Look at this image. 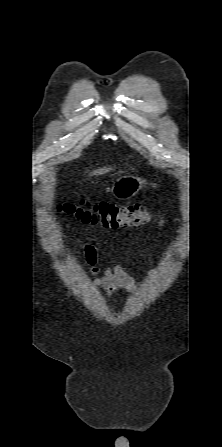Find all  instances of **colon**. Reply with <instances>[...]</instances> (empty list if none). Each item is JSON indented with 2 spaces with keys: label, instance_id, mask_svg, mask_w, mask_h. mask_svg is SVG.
<instances>
[{
  "label": "colon",
  "instance_id": "5ec220e1",
  "mask_svg": "<svg viewBox=\"0 0 222 447\" xmlns=\"http://www.w3.org/2000/svg\"><path fill=\"white\" fill-rule=\"evenodd\" d=\"M62 210L85 224L117 229L145 224L153 219L151 211L141 204L119 206L110 202L79 201L65 203Z\"/></svg>",
  "mask_w": 222,
  "mask_h": 447
}]
</instances>
